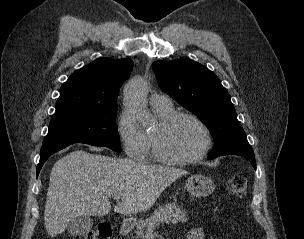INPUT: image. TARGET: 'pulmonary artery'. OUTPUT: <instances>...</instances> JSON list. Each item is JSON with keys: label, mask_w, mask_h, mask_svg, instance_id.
I'll list each match as a JSON object with an SVG mask.
<instances>
[{"label": "pulmonary artery", "mask_w": 304, "mask_h": 239, "mask_svg": "<svg viewBox=\"0 0 304 239\" xmlns=\"http://www.w3.org/2000/svg\"><path fill=\"white\" fill-rule=\"evenodd\" d=\"M151 104L171 103V99L165 94L154 93L150 96Z\"/></svg>", "instance_id": "e3ab8cb5"}]
</instances>
